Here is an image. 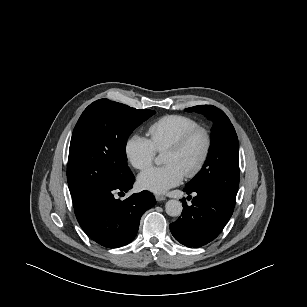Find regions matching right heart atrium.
Returning <instances> with one entry per match:
<instances>
[{
  "instance_id": "d8ad5b80",
  "label": "right heart atrium",
  "mask_w": 307,
  "mask_h": 307,
  "mask_svg": "<svg viewBox=\"0 0 307 307\" xmlns=\"http://www.w3.org/2000/svg\"><path fill=\"white\" fill-rule=\"evenodd\" d=\"M125 152L132 166L138 170L149 167L156 156L150 140L137 134L128 138Z\"/></svg>"
}]
</instances>
